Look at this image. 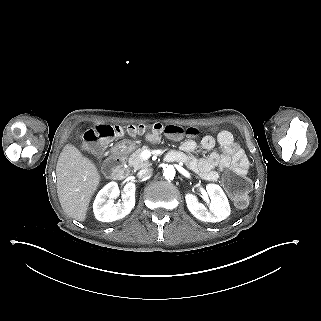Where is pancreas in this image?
<instances>
[{"instance_id":"cf45deb5","label":"pancreas","mask_w":321,"mask_h":321,"mask_svg":"<svg viewBox=\"0 0 321 321\" xmlns=\"http://www.w3.org/2000/svg\"><path fill=\"white\" fill-rule=\"evenodd\" d=\"M149 149L150 148L147 145H145L137 149L136 151H134L128 159V165L132 167L134 170H138V169L146 168L150 166L149 161H143L140 157L142 151L149 150Z\"/></svg>"}]
</instances>
